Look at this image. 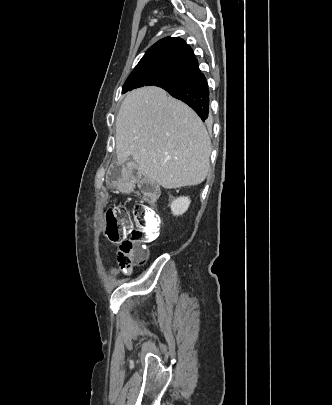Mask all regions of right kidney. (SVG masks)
<instances>
[{
    "label": "right kidney",
    "mask_w": 332,
    "mask_h": 405,
    "mask_svg": "<svg viewBox=\"0 0 332 405\" xmlns=\"http://www.w3.org/2000/svg\"><path fill=\"white\" fill-rule=\"evenodd\" d=\"M190 202V199L186 196L175 198L170 204L172 214L174 216L184 214L188 210Z\"/></svg>",
    "instance_id": "obj_1"
}]
</instances>
